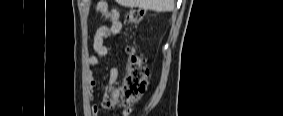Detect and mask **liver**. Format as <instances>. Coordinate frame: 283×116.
<instances>
[{
    "instance_id": "liver-1",
    "label": "liver",
    "mask_w": 283,
    "mask_h": 116,
    "mask_svg": "<svg viewBox=\"0 0 283 116\" xmlns=\"http://www.w3.org/2000/svg\"><path fill=\"white\" fill-rule=\"evenodd\" d=\"M124 7H140L145 10L167 12L174 9L175 0H116Z\"/></svg>"
}]
</instances>
